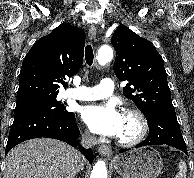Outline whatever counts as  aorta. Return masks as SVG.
<instances>
[{
    "instance_id": "1",
    "label": "aorta",
    "mask_w": 194,
    "mask_h": 178,
    "mask_svg": "<svg viewBox=\"0 0 194 178\" xmlns=\"http://www.w3.org/2000/svg\"><path fill=\"white\" fill-rule=\"evenodd\" d=\"M113 58V49L108 46H102L97 55V62L99 65H105ZM90 178H107L106 163L103 160H99L92 169Z\"/></svg>"
}]
</instances>
